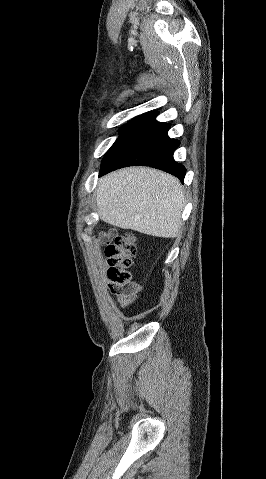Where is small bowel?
Returning a JSON list of instances; mask_svg holds the SVG:
<instances>
[{
  "mask_svg": "<svg viewBox=\"0 0 266 479\" xmlns=\"http://www.w3.org/2000/svg\"><path fill=\"white\" fill-rule=\"evenodd\" d=\"M140 291L141 286L137 283H132L131 288L128 291L116 292L117 301L120 306L124 308L129 307L136 302Z\"/></svg>",
  "mask_w": 266,
  "mask_h": 479,
  "instance_id": "1",
  "label": "small bowel"
}]
</instances>
